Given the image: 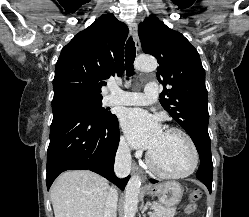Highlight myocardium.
Listing matches in <instances>:
<instances>
[{
  "mask_svg": "<svg viewBox=\"0 0 249 217\" xmlns=\"http://www.w3.org/2000/svg\"><path fill=\"white\" fill-rule=\"evenodd\" d=\"M165 132L166 133H178L182 137H184V139L187 141L192 152V163L190 167L184 172H180V173L167 172V171L160 169L156 165V163L153 160L152 153L151 151H149L146 156V160H147V164L149 168L151 169L152 172H154L158 176L162 178H167V179H182V178H186L192 175L195 172L198 166V163H199V153H198V149L196 147L194 140L185 130L178 128V127H169L165 130Z\"/></svg>",
  "mask_w": 249,
  "mask_h": 217,
  "instance_id": "obj_1",
  "label": "myocardium"
}]
</instances>
